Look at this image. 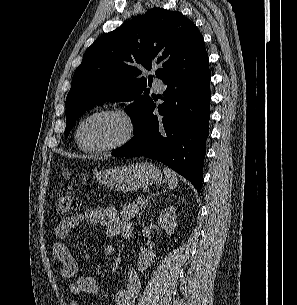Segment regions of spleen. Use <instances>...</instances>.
<instances>
[{
    "label": "spleen",
    "instance_id": "spleen-1",
    "mask_svg": "<svg viewBox=\"0 0 297 305\" xmlns=\"http://www.w3.org/2000/svg\"><path fill=\"white\" fill-rule=\"evenodd\" d=\"M163 172L167 179L169 189H174L178 184V179L176 177V174L172 170L166 167L163 168Z\"/></svg>",
    "mask_w": 297,
    "mask_h": 305
}]
</instances>
